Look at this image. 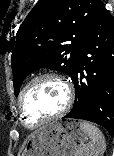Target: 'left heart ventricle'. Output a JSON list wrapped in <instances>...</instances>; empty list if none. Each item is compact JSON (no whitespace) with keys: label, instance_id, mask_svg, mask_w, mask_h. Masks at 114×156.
I'll return each mask as SVG.
<instances>
[{"label":"left heart ventricle","instance_id":"obj_1","mask_svg":"<svg viewBox=\"0 0 114 156\" xmlns=\"http://www.w3.org/2000/svg\"><path fill=\"white\" fill-rule=\"evenodd\" d=\"M65 100L62 86L53 79H43L33 84L22 99V109L27 125L32 126L43 118L58 112Z\"/></svg>","mask_w":114,"mask_h":156}]
</instances>
